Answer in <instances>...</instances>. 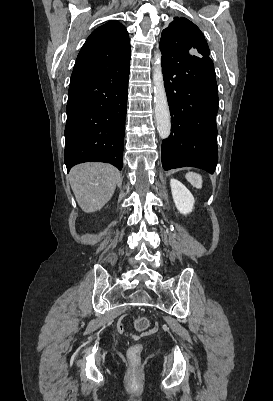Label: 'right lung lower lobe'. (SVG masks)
<instances>
[{"label":"right lung lower lobe","mask_w":273,"mask_h":401,"mask_svg":"<svg viewBox=\"0 0 273 401\" xmlns=\"http://www.w3.org/2000/svg\"><path fill=\"white\" fill-rule=\"evenodd\" d=\"M130 59L70 87L64 160L69 171L82 162L122 169Z\"/></svg>","instance_id":"1"}]
</instances>
